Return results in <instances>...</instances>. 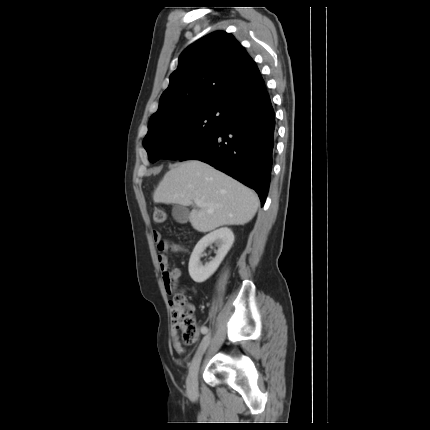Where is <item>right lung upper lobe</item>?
I'll return each instance as SVG.
<instances>
[{"instance_id":"cb5924a9","label":"right lung upper lobe","mask_w":430,"mask_h":430,"mask_svg":"<svg viewBox=\"0 0 430 430\" xmlns=\"http://www.w3.org/2000/svg\"><path fill=\"white\" fill-rule=\"evenodd\" d=\"M260 82L256 63L234 36L215 31L182 52L149 126L205 104L232 105Z\"/></svg>"}]
</instances>
